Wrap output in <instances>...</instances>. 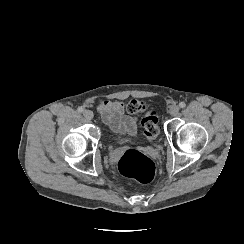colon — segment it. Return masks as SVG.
<instances>
[{
	"label": "colon",
	"instance_id": "colon-1",
	"mask_svg": "<svg viewBox=\"0 0 244 244\" xmlns=\"http://www.w3.org/2000/svg\"><path fill=\"white\" fill-rule=\"evenodd\" d=\"M128 112L131 114L143 115L141 126L146 140L152 144L159 135V126L157 121V112L149 109L145 102L133 100L128 106ZM119 171L123 176L137 178V181L147 184L152 181L155 174V163L147 155L128 151L123 154L119 161Z\"/></svg>",
	"mask_w": 244,
	"mask_h": 244
}]
</instances>
